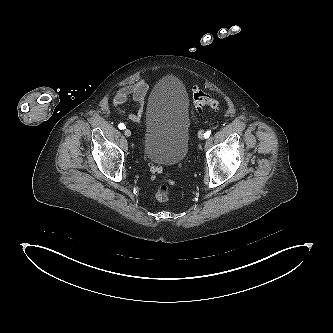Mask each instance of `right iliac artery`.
Instances as JSON below:
<instances>
[{
    "instance_id": "82829eb1",
    "label": "right iliac artery",
    "mask_w": 333,
    "mask_h": 333,
    "mask_svg": "<svg viewBox=\"0 0 333 333\" xmlns=\"http://www.w3.org/2000/svg\"><path fill=\"white\" fill-rule=\"evenodd\" d=\"M118 128L121 129V130H124L126 128L125 124L124 123H120L118 125Z\"/></svg>"
}]
</instances>
